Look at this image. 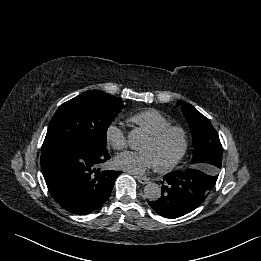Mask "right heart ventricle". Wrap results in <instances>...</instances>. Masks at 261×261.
<instances>
[{
    "label": "right heart ventricle",
    "mask_w": 261,
    "mask_h": 261,
    "mask_svg": "<svg viewBox=\"0 0 261 261\" xmlns=\"http://www.w3.org/2000/svg\"><path fill=\"white\" fill-rule=\"evenodd\" d=\"M130 121L143 129L147 134H154L169 126L170 120L156 109H147L130 117Z\"/></svg>",
    "instance_id": "obj_1"
}]
</instances>
